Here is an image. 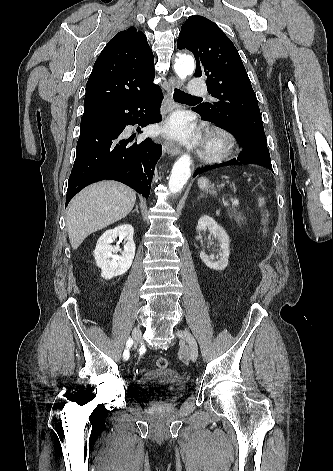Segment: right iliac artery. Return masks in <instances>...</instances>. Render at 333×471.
<instances>
[{
	"label": "right iliac artery",
	"instance_id": "82829eb1",
	"mask_svg": "<svg viewBox=\"0 0 333 471\" xmlns=\"http://www.w3.org/2000/svg\"><path fill=\"white\" fill-rule=\"evenodd\" d=\"M132 344H133V340L131 338H129L126 342V348H125L124 353H123L124 360L129 359V355H130L129 349L132 346Z\"/></svg>",
	"mask_w": 333,
	"mask_h": 471
}]
</instances>
